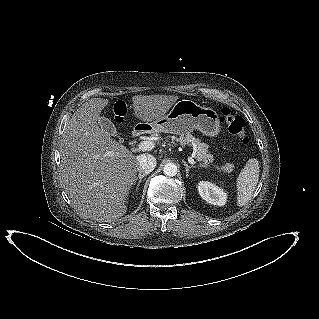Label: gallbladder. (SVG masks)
<instances>
[{"label":"gallbladder","instance_id":"1","mask_svg":"<svg viewBox=\"0 0 319 319\" xmlns=\"http://www.w3.org/2000/svg\"><path fill=\"white\" fill-rule=\"evenodd\" d=\"M98 124L101 126L102 129H104L109 135L116 137L118 136V133L116 131V128L114 124L106 117L101 116L98 119ZM119 142H123V139L119 137Z\"/></svg>","mask_w":319,"mask_h":319}]
</instances>
